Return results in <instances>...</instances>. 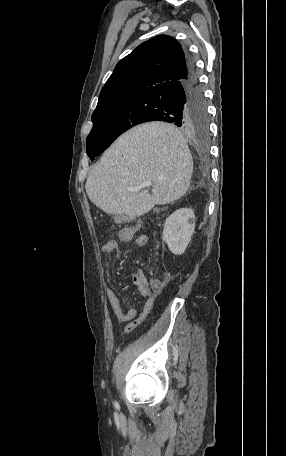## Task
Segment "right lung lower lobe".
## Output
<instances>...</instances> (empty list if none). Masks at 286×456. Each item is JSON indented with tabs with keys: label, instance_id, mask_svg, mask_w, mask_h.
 Listing matches in <instances>:
<instances>
[{
	"label": "right lung lower lobe",
	"instance_id": "1",
	"mask_svg": "<svg viewBox=\"0 0 286 456\" xmlns=\"http://www.w3.org/2000/svg\"><path fill=\"white\" fill-rule=\"evenodd\" d=\"M141 106V123L165 121L191 131L207 117L206 103L192 58L181 78L136 95Z\"/></svg>",
	"mask_w": 286,
	"mask_h": 456
}]
</instances>
